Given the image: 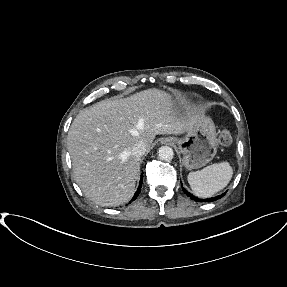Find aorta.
I'll return each instance as SVG.
<instances>
[{
  "mask_svg": "<svg viewBox=\"0 0 287 287\" xmlns=\"http://www.w3.org/2000/svg\"><path fill=\"white\" fill-rule=\"evenodd\" d=\"M174 151L169 146H161L158 150V157L163 161H170L173 159Z\"/></svg>",
  "mask_w": 287,
  "mask_h": 287,
  "instance_id": "762f6f07",
  "label": "aorta"
}]
</instances>
